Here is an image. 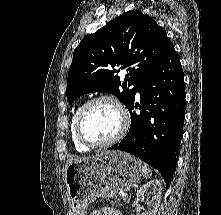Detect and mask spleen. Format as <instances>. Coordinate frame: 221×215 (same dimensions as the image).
I'll return each mask as SVG.
<instances>
[{
  "label": "spleen",
  "mask_w": 221,
  "mask_h": 215,
  "mask_svg": "<svg viewBox=\"0 0 221 215\" xmlns=\"http://www.w3.org/2000/svg\"><path fill=\"white\" fill-rule=\"evenodd\" d=\"M142 174L145 178H149L152 175L150 168L146 164H142Z\"/></svg>",
  "instance_id": "spleen-1"
}]
</instances>
